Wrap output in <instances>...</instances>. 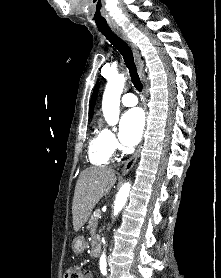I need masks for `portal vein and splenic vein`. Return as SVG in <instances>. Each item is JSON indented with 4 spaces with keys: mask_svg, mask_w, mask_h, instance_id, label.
<instances>
[{
    "mask_svg": "<svg viewBox=\"0 0 221 278\" xmlns=\"http://www.w3.org/2000/svg\"><path fill=\"white\" fill-rule=\"evenodd\" d=\"M96 215H98V216H100V215H101L100 210H97V211H96Z\"/></svg>",
    "mask_w": 221,
    "mask_h": 278,
    "instance_id": "18ae733b",
    "label": "portal vein and splenic vein"
}]
</instances>
